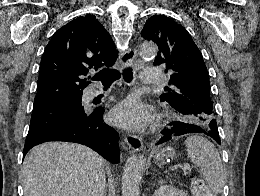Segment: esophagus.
<instances>
[{
  "mask_svg": "<svg viewBox=\"0 0 260 196\" xmlns=\"http://www.w3.org/2000/svg\"><path fill=\"white\" fill-rule=\"evenodd\" d=\"M136 57L135 48H129V50L123 51L120 54V61L124 68L132 65L134 59ZM125 142L129 146L132 151H140L143 148L142 139L139 136L127 134L125 135Z\"/></svg>",
  "mask_w": 260,
  "mask_h": 196,
  "instance_id": "1",
  "label": "esophagus"
}]
</instances>
